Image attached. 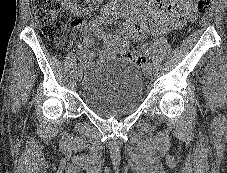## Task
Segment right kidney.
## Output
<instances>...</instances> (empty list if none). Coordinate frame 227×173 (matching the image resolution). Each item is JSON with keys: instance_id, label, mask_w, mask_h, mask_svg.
Masks as SVG:
<instances>
[{"instance_id": "right-kidney-1", "label": "right kidney", "mask_w": 227, "mask_h": 173, "mask_svg": "<svg viewBox=\"0 0 227 173\" xmlns=\"http://www.w3.org/2000/svg\"><path fill=\"white\" fill-rule=\"evenodd\" d=\"M66 9L72 13L80 12L81 7L77 5V0H64Z\"/></svg>"}]
</instances>
